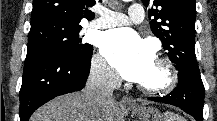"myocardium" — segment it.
<instances>
[{
	"mask_svg": "<svg viewBox=\"0 0 217 121\" xmlns=\"http://www.w3.org/2000/svg\"><path fill=\"white\" fill-rule=\"evenodd\" d=\"M162 70V79L155 84L139 83L138 88L147 95H161L172 92L178 85L179 75L174 63L166 57H159L155 61Z\"/></svg>",
	"mask_w": 217,
	"mask_h": 121,
	"instance_id": "1",
	"label": "myocardium"
}]
</instances>
